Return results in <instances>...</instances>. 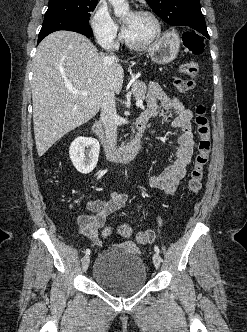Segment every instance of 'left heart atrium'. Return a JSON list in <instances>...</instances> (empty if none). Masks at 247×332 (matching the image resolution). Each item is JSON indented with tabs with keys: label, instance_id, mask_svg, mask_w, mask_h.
<instances>
[{
	"label": "left heart atrium",
	"instance_id": "left-heart-atrium-1",
	"mask_svg": "<svg viewBox=\"0 0 247 332\" xmlns=\"http://www.w3.org/2000/svg\"><path fill=\"white\" fill-rule=\"evenodd\" d=\"M129 20H130L129 18H126V19L123 20L124 26H127V25H128Z\"/></svg>",
	"mask_w": 247,
	"mask_h": 332
}]
</instances>
